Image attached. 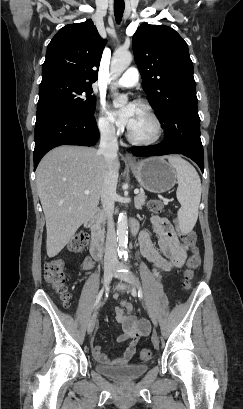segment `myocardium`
<instances>
[{"instance_id":"obj_1","label":"myocardium","mask_w":243,"mask_h":409,"mask_svg":"<svg viewBox=\"0 0 243 409\" xmlns=\"http://www.w3.org/2000/svg\"><path fill=\"white\" fill-rule=\"evenodd\" d=\"M136 105L143 107L149 117L151 118L153 125H154V135L150 138H139L134 136L131 131L127 130V136L129 141L139 145H153L160 141L163 135V126L160 118L158 117L157 113L153 109V107L146 101L138 100L136 101Z\"/></svg>"}]
</instances>
